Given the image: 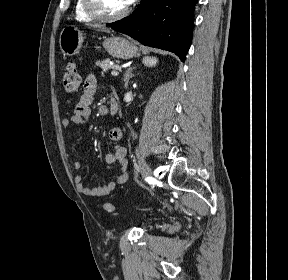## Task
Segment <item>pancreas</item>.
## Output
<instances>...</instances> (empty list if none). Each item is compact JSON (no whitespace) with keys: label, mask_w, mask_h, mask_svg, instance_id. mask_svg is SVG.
I'll use <instances>...</instances> for the list:
<instances>
[{"label":"pancreas","mask_w":288,"mask_h":280,"mask_svg":"<svg viewBox=\"0 0 288 280\" xmlns=\"http://www.w3.org/2000/svg\"><path fill=\"white\" fill-rule=\"evenodd\" d=\"M96 65L100 66L101 69H103L104 71L118 67V65L112 63L110 59H103L102 61H97Z\"/></svg>","instance_id":"cf45deb5"}]
</instances>
